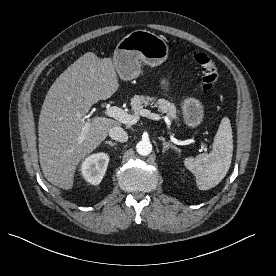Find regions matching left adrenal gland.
Wrapping results in <instances>:
<instances>
[{
  "label": "left adrenal gland",
  "instance_id": "a2214340",
  "mask_svg": "<svg viewBox=\"0 0 276 276\" xmlns=\"http://www.w3.org/2000/svg\"><path fill=\"white\" fill-rule=\"evenodd\" d=\"M159 140L163 141V153H165L170 148L175 150L176 152H180V150L175 145L171 144L170 142H167L164 137H159Z\"/></svg>",
  "mask_w": 276,
  "mask_h": 276
}]
</instances>
